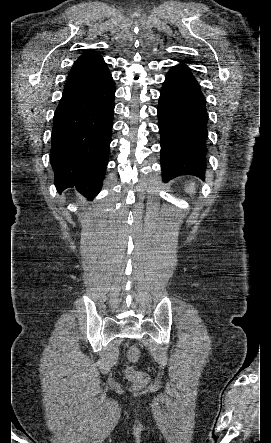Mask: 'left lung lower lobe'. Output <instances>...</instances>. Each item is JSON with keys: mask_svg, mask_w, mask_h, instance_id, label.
I'll list each match as a JSON object with an SVG mask.
<instances>
[{"mask_svg": "<svg viewBox=\"0 0 271 443\" xmlns=\"http://www.w3.org/2000/svg\"><path fill=\"white\" fill-rule=\"evenodd\" d=\"M181 62L167 73L159 98L162 176L164 181L185 174L204 180L206 101L186 62Z\"/></svg>", "mask_w": 271, "mask_h": 443, "instance_id": "1", "label": "left lung lower lobe"}]
</instances>
